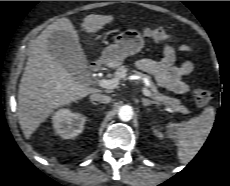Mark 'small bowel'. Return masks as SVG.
I'll use <instances>...</instances> for the list:
<instances>
[{
  "instance_id": "1",
  "label": "small bowel",
  "mask_w": 230,
  "mask_h": 186,
  "mask_svg": "<svg viewBox=\"0 0 230 186\" xmlns=\"http://www.w3.org/2000/svg\"><path fill=\"white\" fill-rule=\"evenodd\" d=\"M179 50L189 52L191 47L182 44L179 46ZM136 65L141 71L153 75L155 83L159 86L180 94L189 91V85L183 80V77L193 72L194 64L191 61H186L180 66L175 65V50L170 45L164 46L161 61L141 59Z\"/></svg>"
}]
</instances>
